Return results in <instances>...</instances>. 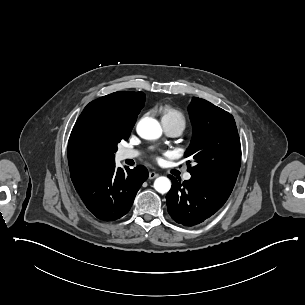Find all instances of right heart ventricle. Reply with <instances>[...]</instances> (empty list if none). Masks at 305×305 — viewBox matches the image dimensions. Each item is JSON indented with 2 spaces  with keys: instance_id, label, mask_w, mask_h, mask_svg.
<instances>
[{
  "instance_id": "obj_1",
  "label": "right heart ventricle",
  "mask_w": 305,
  "mask_h": 305,
  "mask_svg": "<svg viewBox=\"0 0 305 305\" xmlns=\"http://www.w3.org/2000/svg\"><path fill=\"white\" fill-rule=\"evenodd\" d=\"M160 112L162 121L181 122L185 126V118L177 109L164 105L160 107Z\"/></svg>"
}]
</instances>
